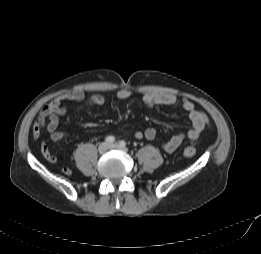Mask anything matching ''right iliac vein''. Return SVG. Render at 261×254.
Returning <instances> with one entry per match:
<instances>
[{
  "instance_id": "63e3f726",
  "label": "right iliac vein",
  "mask_w": 261,
  "mask_h": 254,
  "mask_svg": "<svg viewBox=\"0 0 261 254\" xmlns=\"http://www.w3.org/2000/svg\"><path fill=\"white\" fill-rule=\"evenodd\" d=\"M108 150V144L107 143H101L98 147V151L100 154H104Z\"/></svg>"
}]
</instances>
